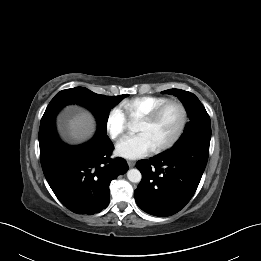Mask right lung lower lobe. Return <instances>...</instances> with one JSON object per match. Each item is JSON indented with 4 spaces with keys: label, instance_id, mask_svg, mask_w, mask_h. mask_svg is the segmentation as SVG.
Wrapping results in <instances>:
<instances>
[{
    "label": "right lung lower lobe",
    "instance_id": "98d812e1",
    "mask_svg": "<svg viewBox=\"0 0 261 261\" xmlns=\"http://www.w3.org/2000/svg\"><path fill=\"white\" fill-rule=\"evenodd\" d=\"M40 160L44 175L59 201L77 214L99 213L109 204V184L127 172L123 158L111 159L113 143L106 133L80 146H69L57 135L55 119L40 124Z\"/></svg>",
    "mask_w": 261,
    "mask_h": 261
}]
</instances>
